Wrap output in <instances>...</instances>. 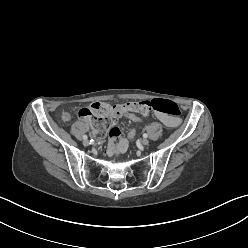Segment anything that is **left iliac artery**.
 Wrapping results in <instances>:
<instances>
[{
  "instance_id": "44dca946",
  "label": "left iliac artery",
  "mask_w": 248,
  "mask_h": 248,
  "mask_svg": "<svg viewBox=\"0 0 248 248\" xmlns=\"http://www.w3.org/2000/svg\"><path fill=\"white\" fill-rule=\"evenodd\" d=\"M143 137H144V138H147V137H148V135H147L146 133H144V134H143Z\"/></svg>"
}]
</instances>
